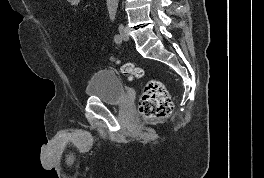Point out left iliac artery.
Masks as SVG:
<instances>
[{
  "label": "left iliac artery",
  "mask_w": 264,
  "mask_h": 178,
  "mask_svg": "<svg viewBox=\"0 0 264 178\" xmlns=\"http://www.w3.org/2000/svg\"><path fill=\"white\" fill-rule=\"evenodd\" d=\"M109 14H110V19H111L112 21H114V20H115V16H116V11H115V10H112V11L109 12ZM114 41H115L116 43L121 42V37H120V35L116 34V35L114 36Z\"/></svg>",
  "instance_id": "left-iliac-artery-1"
}]
</instances>
